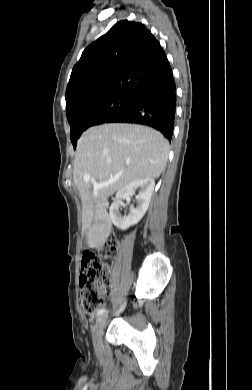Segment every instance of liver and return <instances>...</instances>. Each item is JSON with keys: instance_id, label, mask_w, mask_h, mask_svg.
I'll return each mask as SVG.
<instances>
[{"instance_id": "6515ba94", "label": "liver", "mask_w": 252, "mask_h": 390, "mask_svg": "<svg viewBox=\"0 0 252 390\" xmlns=\"http://www.w3.org/2000/svg\"><path fill=\"white\" fill-rule=\"evenodd\" d=\"M169 152L164 136L149 127L134 124H103L86 130L80 137L74 161L73 179L82 200V230L91 248L102 245L112 223L107 213L108 197L131 182L158 178L165 169ZM99 183L116 179L95 190L83 177Z\"/></svg>"}]
</instances>
